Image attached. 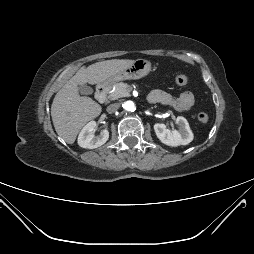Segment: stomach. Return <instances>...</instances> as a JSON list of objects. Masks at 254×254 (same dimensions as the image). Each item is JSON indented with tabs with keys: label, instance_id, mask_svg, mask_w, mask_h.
Instances as JSON below:
<instances>
[{
	"label": "stomach",
	"instance_id": "stomach-1",
	"mask_svg": "<svg viewBox=\"0 0 254 254\" xmlns=\"http://www.w3.org/2000/svg\"><path fill=\"white\" fill-rule=\"evenodd\" d=\"M151 71V63L145 59H137L132 65L110 77L108 82L135 80L146 76Z\"/></svg>",
	"mask_w": 254,
	"mask_h": 254
}]
</instances>
